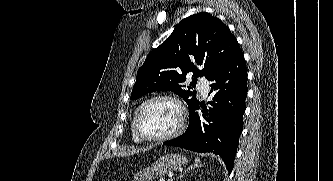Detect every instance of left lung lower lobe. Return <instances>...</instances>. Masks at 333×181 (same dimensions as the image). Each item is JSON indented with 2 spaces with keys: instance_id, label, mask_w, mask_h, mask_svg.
<instances>
[{
  "instance_id": "1",
  "label": "left lung lower lobe",
  "mask_w": 333,
  "mask_h": 181,
  "mask_svg": "<svg viewBox=\"0 0 333 181\" xmlns=\"http://www.w3.org/2000/svg\"><path fill=\"white\" fill-rule=\"evenodd\" d=\"M208 80L212 81L211 92L217 91L213 101L209 102L214 108H210L209 113L204 109L201 120L197 112L202 106L199 103L190 110L186 132L163 145L217 154L231 172L243 128L242 117L248 90L247 70L241 49H236Z\"/></svg>"
}]
</instances>
